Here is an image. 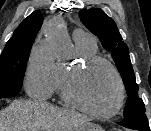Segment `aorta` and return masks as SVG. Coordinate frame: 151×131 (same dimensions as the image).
<instances>
[{
    "label": "aorta",
    "instance_id": "1",
    "mask_svg": "<svg viewBox=\"0 0 151 131\" xmlns=\"http://www.w3.org/2000/svg\"><path fill=\"white\" fill-rule=\"evenodd\" d=\"M47 37L54 45L58 58L68 59L72 56V45L65 32L62 19H56L52 22Z\"/></svg>",
    "mask_w": 151,
    "mask_h": 131
}]
</instances>
